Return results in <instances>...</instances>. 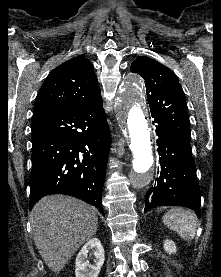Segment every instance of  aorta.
<instances>
[{"instance_id": "1", "label": "aorta", "mask_w": 221, "mask_h": 277, "mask_svg": "<svg viewBox=\"0 0 221 277\" xmlns=\"http://www.w3.org/2000/svg\"><path fill=\"white\" fill-rule=\"evenodd\" d=\"M142 84L138 76L130 74L119 91L117 112L125 134L130 138L133 154L131 185L147 186L154 176V157L149 122L142 99Z\"/></svg>"}]
</instances>
